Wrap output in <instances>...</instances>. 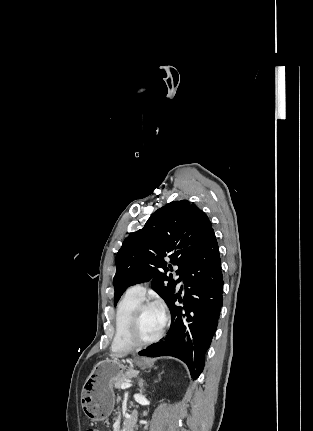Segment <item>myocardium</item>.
<instances>
[{"label": "myocardium", "instance_id": "f54148a6", "mask_svg": "<svg viewBox=\"0 0 313 431\" xmlns=\"http://www.w3.org/2000/svg\"><path fill=\"white\" fill-rule=\"evenodd\" d=\"M151 306H154V304H152L150 302H141L140 304L137 305V307L134 309V311L132 313L129 327H128L127 336H128L129 342L134 347H143V346H148L150 344H153V343L157 342L162 337V335L164 333L165 324H166V316H165V320H164V323L162 325V328L154 337H152L150 339H142L139 336L138 331H139V326H140L141 315L146 308L151 307Z\"/></svg>", "mask_w": 313, "mask_h": 431}]
</instances>
